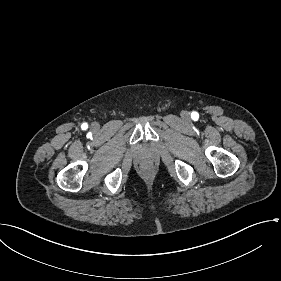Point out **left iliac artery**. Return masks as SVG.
<instances>
[{
	"label": "left iliac artery",
	"instance_id": "44dca946",
	"mask_svg": "<svg viewBox=\"0 0 281 281\" xmlns=\"http://www.w3.org/2000/svg\"><path fill=\"white\" fill-rule=\"evenodd\" d=\"M192 117H193V119H196V118L198 117V114H197L196 112H194V113L192 114Z\"/></svg>",
	"mask_w": 281,
	"mask_h": 281
}]
</instances>
